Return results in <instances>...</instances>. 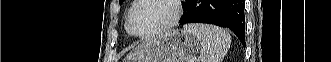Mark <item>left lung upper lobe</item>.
Masks as SVG:
<instances>
[{"mask_svg": "<svg viewBox=\"0 0 331 62\" xmlns=\"http://www.w3.org/2000/svg\"><path fill=\"white\" fill-rule=\"evenodd\" d=\"M187 1V0H186ZM123 2V0H119V3H122Z\"/></svg>", "mask_w": 331, "mask_h": 62, "instance_id": "left-lung-upper-lobe-1", "label": "left lung upper lobe"}]
</instances>
